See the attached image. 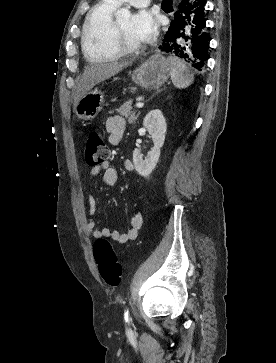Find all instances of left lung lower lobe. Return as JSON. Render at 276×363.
<instances>
[{
    "mask_svg": "<svg viewBox=\"0 0 276 363\" xmlns=\"http://www.w3.org/2000/svg\"><path fill=\"white\" fill-rule=\"evenodd\" d=\"M205 0H183L175 20L159 49L188 63L198 71L204 69L207 59L208 35L206 33Z\"/></svg>",
    "mask_w": 276,
    "mask_h": 363,
    "instance_id": "obj_1",
    "label": "left lung lower lobe"
}]
</instances>
